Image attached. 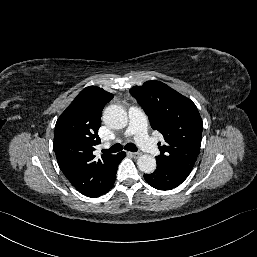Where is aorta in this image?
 Wrapping results in <instances>:
<instances>
[{
	"label": "aorta",
	"instance_id": "1",
	"mask_svg": "<svg viewBox=\"0 0 257 257\" xmlns=\"http://www.w3.org/2000/svg\"><path fill=\"white\" fill-rule=\"evenodd\" d=\"M103 121L113 129H123L127 126L128 116L125 109L119 105H110L103 112ZM137 165L140 171L150 174L156 169V160L151 155H141Z\"/></svg>",
	"mask_w": 257,
	"mask_h": 257
}]
</instances>
